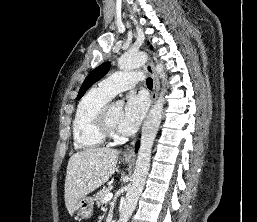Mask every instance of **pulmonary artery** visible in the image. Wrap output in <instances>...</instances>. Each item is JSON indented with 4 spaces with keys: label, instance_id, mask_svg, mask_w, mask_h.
<instances>
[{
    "label": "pulmonary artery",
    "instance_id": "pulmonary-artery-1",
    "mask_svg": "<svg viewBox=\"0 0 257 222\" xmlns=\"http://www.w3.org/2000/svg\"><path fill=\"white\" fill-rule=\"evenodd\" d=\"M143 80L141 73L135 72H116L100 81L98 87L114 97L117 93L132 88L137 82Z\"/></svg>",
    "mask_w": 257,
    "mask_h": 222
}]
</instances>
